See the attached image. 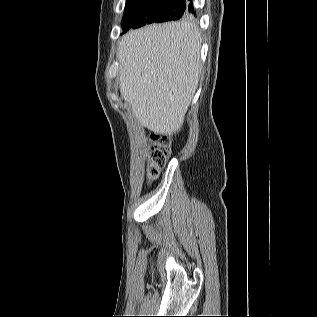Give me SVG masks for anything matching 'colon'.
I'll list each match as a JSON object with an SVG mask.
<instances>
[{
	"label": "colon",
	"mask_w": 317,
	"mask_h": 317,
	"mask_svg": "<svg viewBox=\"0 0 317 317\" xmlns=\"http://www.w3.org/2000/svg\"><path fill=\"white\" fill-rule=\"evenodd\" d=\"M152 146L149 152L148 177L155 179L170 155V141L167 137L152 134Z\"/></svg>",
	"instance_id": "1"
}]
</instances>
